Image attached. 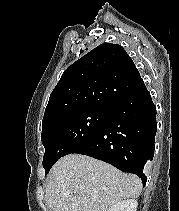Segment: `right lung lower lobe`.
<instances>
[{
  "label": "right lung lower lobe",
  "instance_id": "obj_1",
  "mask_svg": "<svg viewBox=\"0 0 179 211\" xmlns=\"http://www.w3.org/2000/svg\"><path fill=\"white\" fill-rule=\"evenodd\" d=\"M156 107L144 82L110 112L100 131L73 153L105 161L138 175L146 184L145 167L153 159Z\"/></svg>",
  "mask_w": 179,
  "mask_h": 211
}]
</instances>
